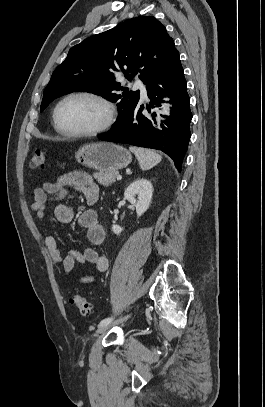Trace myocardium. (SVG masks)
<instances>
[{
	"label": "myocardium",
	"instance_id": "obj_1",
	"mask_svg": "<svg viewBox=\"0 0 265 407\" xmlns=\"http://www.w3.org/2000/svg\"><path fill=\"white\" fill-rule=\"evenodd\" d=\"M75 97L89 98V99L95 100L98 103H100L106 111V118H105L104 122L102 124H100L99 126L92 128V129H88V130L69 131V130L63 129L60 126L59 121H58L59 109L65 101H67L71 98H75ZM116 114H117V112H116L115 105L113 104L112 101H110L105 96L95 93V92H91V91H75V92H71V93L65 95L58 101V103L56 104V106L53 110V122H54L55 129L64 136L91 137V136H96V135H99V134H102V133L108 131L114 125V123L116 121Z\"/></svg>",
	"mask_w": 265,
	"mask_h": 407
}]
</instances>
